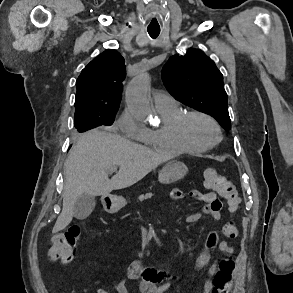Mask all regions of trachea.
<instances>
[{"label":"trachea","mask_w":293,"mask_h":293,"mask_svg":"<svg viewBox=\"0 0 293 293\" xmlns=\"http://www.w3.org/2000/svg\"><path fill=\"white\" fill-rule=\"evenodd\" d=\"M151 38L155 39L160 34V29H147Z\"/></svg>","instance_id":"1"}]
</instances>
